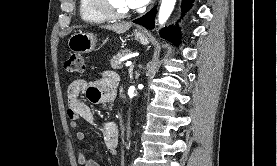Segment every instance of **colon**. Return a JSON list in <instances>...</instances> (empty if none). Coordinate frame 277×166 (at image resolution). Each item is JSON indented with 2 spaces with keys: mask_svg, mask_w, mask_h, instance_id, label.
<instances>
[{
  "mask_svg": "<svg viewBox=\"0 0 277 166\" xmlns=\"http://www.w3.org/2000/svg\"><path fill=\"white\" fill-rule=\"evenodd\" d=\"M65 70L69 73H83L85 71V60L81 54H72L65 61Z\"/></svg>",
  "mask_w": 277,
  "mask_h": 166,
  "instance_id": "1",
  "label": "colon"
}]
</instances>
